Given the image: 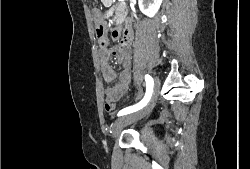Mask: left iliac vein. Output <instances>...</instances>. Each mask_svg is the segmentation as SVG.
Masks as SVG:
<instances>
[{"mask_svg": "<svg viewBox=\"0 0 250 169\" xmlns=\"http://www.w3.org/2000/svg\"><path fill=\"white\" fill-rule=\"evenodd\" d=\"M159 89H160V80L159 78L156 76L155 77V84H154V88H153V93L152 96L149 100V102L138 112L132 113V114H126V115H122L121 117H119L113 125V129H112V135L113 137H117L118 134L120 133V130H122L123 127H125L126 125L141 119L142 117H144L145 115H147L151 109L153 108L156 98L158 97L159 94Z\"/></svg>", "mask_w": 250, "mask_h": 169, "instance_id": "left-iliac-vein-1", "label": "left iliac vein"}]
</instances>
